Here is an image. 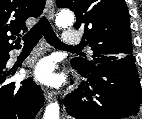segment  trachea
Masks as SVG:
<instances>
[{
  "instance_id": "3493384b",
  "label": "trachea",
  "mask_w": 142,
  "mask_h": 119,
  "mask_svg": "<svg viewBox=\"0 0 142 119\" xmlns=\"http://www.w3.org/2000/svg\"><path fill=\"white\" fill-rule=\"evenodd\" d=\"M44 36L46 41L55 48L61 49H79V46H70L63 44L58 37L56 36L55 32L53 31L49 21L47 18L42 17L39 22L31 28V30L24 35V47L25 48H33L40 38Z\"/></svg>"
}]
</instances>
